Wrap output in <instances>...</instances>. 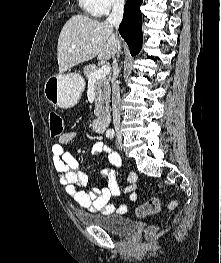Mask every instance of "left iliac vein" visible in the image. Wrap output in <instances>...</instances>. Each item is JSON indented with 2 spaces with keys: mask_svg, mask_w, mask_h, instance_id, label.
<instances>
[{
  "mask_svg": "<svg viewBox=\"0 0 221 263\" xmlns=\"http://www.w3.org/2000/svg\"><path fill=\"white\" fill-rule=\"evenodd\" d=\"M116 146L119 150H122V142H121V139L118 138L117 141H116Z\"/></svg>",
  "mask_w": 221,
  "mask_h": 263,
  "instance_id": "1",
  "label": "left iliac vein"
}]
</instances>
